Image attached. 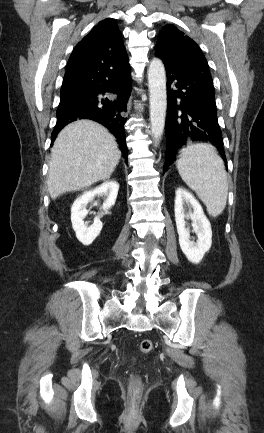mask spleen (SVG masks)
<instances>
[{
	"instance_id": "3e777b00",
	"label": "spleen",
	"mask_w": 264,
	"mask_h": 433,
	"mask_svg": "<svg viewBox=\"0 0 264 433\" xmlns=\"http://www.w3.org/2000/svg\"><path fill=\"white\" fill-rule=\"evenodd\" d=\"M176 167L182 180L204 202L209 215L219 216L228 195V180L224 162L215 148L196 143L181 150Z\"/></svg>"
}]
</instances>
